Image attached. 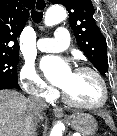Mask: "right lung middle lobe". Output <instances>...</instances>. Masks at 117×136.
<instances>
[{"mask_svg": "<svg viewBox=\"0 0 117 136\" xmlns=\"http://www.w3.org/2000/svg\"><path fill=\"white\" fill-rule=\"evenodd\" d=\"M18 56H0V79H17Z\"/></svg>", "mask_w": 117, "mask_h": 136, "instance_id": "obj_1", "label": "right lung middle lobe"}]
</instances>
